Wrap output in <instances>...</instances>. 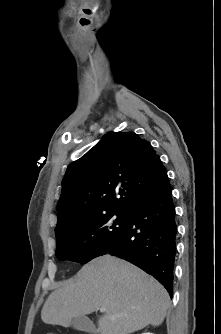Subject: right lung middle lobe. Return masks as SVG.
Listing matches in <instances>:
<instances>
[{
    "mask_svg": "<svg viewBox=\"0 0 221 334\" xmlns=\"http://www.w3.org/2000/svg\"><path fill=\"white\" fill-rule=\"evenodd\" d=\"M128 214L110 212L72 225L57 237L56 256L84 264L104 254L121 238L128 223Z\"/></svg>",
    "mask_w": 221,
    "mask_h": 334,
    "instance_id": "dd1d6c3e",
    "label": "right lung middle lobe"
}]
</instances>
